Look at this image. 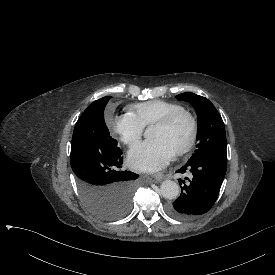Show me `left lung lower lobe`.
I'll return each instance as SVG.
<instances>
[{"instance_id":"left-lung-lower-lobe-1","label":"left lung lower lobe","mask_w":275,"mask_h":275,"mask_svg":"<svg viewBox=\"0 0 275 275\" xmlns=\"http://www.w3.org/2000/svg\"><path fill=\"white\" fill-rule=\"evenodd\" d=\"M227 157L211 154L189 161L177 173L190 171V184L182 187L180 197L168 206L171 216L186 220L208 212L214 205L226 174ZM181 184V180H179ZM184 183V182H183Z\"/></svg>"}]
</instances>
